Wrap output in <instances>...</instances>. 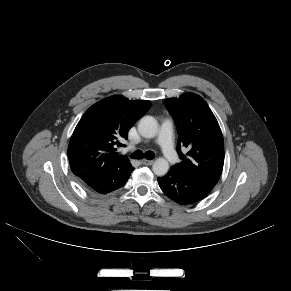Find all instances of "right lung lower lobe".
Returning a JSON list of instances; mask_svg holds the SVG:
<instances>
[{"label":"right lung lower lobe","instance_id":"1","mask_svg":"<svg viewBox=\"0 0 291 291\" xmlns=\"http://www.w3.org/2000/svg\"><path fill=\"white\" fill-rule=\"evenodd\" d=\"M132 170L122 172L116 167H109L81 180V185L91 195H105L124 186Z\"/></svg>","mask_w":291,"mask_h":291}]
</instances>
